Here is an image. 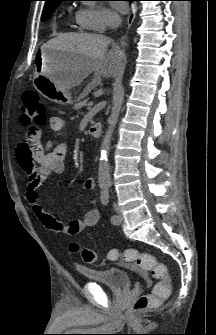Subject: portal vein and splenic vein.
I'll list each match as a JSON object with an SVG mask.
<instances>
[{
	"instance_id": "obj_1",
	"label": "portal vein and splenic vein",
	"mask_w": 216,
	"mask_h": 335,
	"mask_svg": "<svg viewBox=\"0 0 216 335\" xmlns=\"http://www.w3.org/2000/svg\"><path fill=\"white\" fill-rule=\"evenodd\" d=\"M93 104H94L93 102H89V103H88V106H89V107H92Z\"/></svg>"
}]
</instances>
